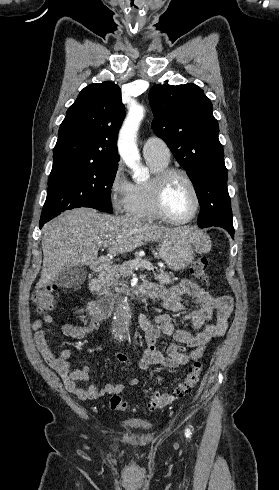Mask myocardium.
I'll use <instances>...</instances> for the list:
<instances>
[{
    "label": "myocardium",
    "instance_id": "1",
    "mask_svg": "<svg viewBox=\"0 0 279 490\" xmlns=\"http://www.w3.org/2000/svg\"><path fill=\"white\" fill-rule=\"evenodd\" d=\"M176 177H181L186 180L191 186L194 197L195 204L192 213L185 219H175L173 218L166 207V195L172 180ZM154 208L157 215L172 224H186L191 222L198 214L201 205V198L199 188L194 181V179L184 170L180 168L167 167L166 169L160 171L155 177V189L153 195Z\"/></svg>",
    "mask_w": 279,
    "mask_h": 490
}]
</instances>
